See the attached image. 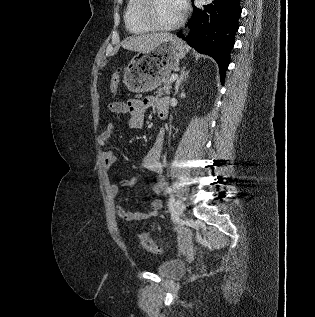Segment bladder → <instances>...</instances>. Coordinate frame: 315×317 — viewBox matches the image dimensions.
<instances>
[{"mask_svg":"<svg viewBox=\"0 0 315 317\" xmlns=\"http://www.w3.org/2000/svg\"><path fill=\"white\" fill-rule=\"evenodd\" d=\"M186 270V264L181 259H170L162 262L156 268V272L166 278H176L181 276Z\"/></svg>","mask_w":315,"mask_h":317,"instance_id":"bladder-1","label":"bladder"}]
</instances>
